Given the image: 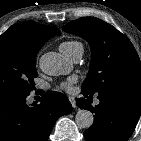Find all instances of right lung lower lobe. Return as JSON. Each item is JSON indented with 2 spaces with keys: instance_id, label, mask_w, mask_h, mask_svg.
I'll use <instances>...</instances> for the list:
<instances>
[{
  "instance_id": "98d812e1",
  "label": "right lung lower lobe",
  "mask_w": 141,
  "mask_h": 141,
  "mask_svg": "<svg viewBox=\"0 0 141 141\" xmlns=\"http://www.w3.org/2000/svg\"><path fill=\"white\" fill-rule=\"evenodd\" d=\"M28 95L0 93V141H47L55 121L72 110L62 93L49 91L32 107Z\"/></svg>"
}]
</instances>
